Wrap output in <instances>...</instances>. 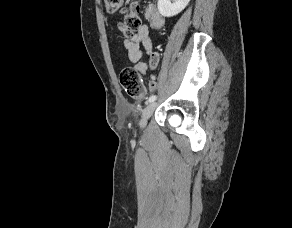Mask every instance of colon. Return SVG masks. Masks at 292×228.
<instances>
[{"label": "colon", "instance_id": "1", "mask_svg": "<svg viewBox=\"0 0 292 228\" xmlns=\"http://www.w3.org/2000/svg\"><path fill=\"white\" fill-rule=\"evenodd\" d=\"M105 7L109 13H124V20L119 28L122 33L129 37L135 34L142 27L141 8L130 0H105ZM151 25L159 28L163 24L161 16L152 12L149 15ZM120 84L126 93L134 99H143L146 95V88L143 84L141 74L135 67H127L120 73Z\"/></svg>", "mask_w": 292, "mask_h": 228}]
</instances>
